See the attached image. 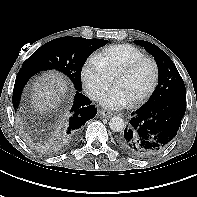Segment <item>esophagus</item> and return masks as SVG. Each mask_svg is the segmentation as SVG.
Here are the masks:
<instances>
[{"label":"esophagus","instance_id":"1","mask_svg":"<svg viewBox=\"0 0 197 197\" xmlns=\"http://www.w3.org/2000/svg\"><path fill=\"white\" fill-rule=\"evenodd\" d=\"M99 113L101 116H103L105 118L111 117L113 115V113L111 111L106 110V109L101 110Z\"/></svg>","mask_w":197,"mask_h":197}]
</instances>
